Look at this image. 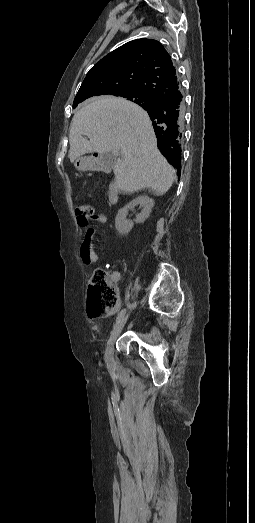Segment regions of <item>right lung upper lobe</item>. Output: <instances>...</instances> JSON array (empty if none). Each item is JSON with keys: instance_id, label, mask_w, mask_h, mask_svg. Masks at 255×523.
I'll return each mask as SVG.
<instances>
[{"instance_id": "1", "label": "right lung upper lobe", "mask_w": 255, "mask_h": 523, "mask_svg": "<svg viewBox=\"0 0 255 523\" xmlns=\"http://www.w3.org/2000/svg\"><path fill=\"white\" fill-rule=\"evenodd\" d=\"M142 91L152 97L155 106L165 101L177 100L181 109L177 112L180 134L176 138L182 143L183 96L175 67L168 52L162 44L152 39H138L128 42L110 52L87 73L73 103V107L84 101L90 102L127 91ZM141 105V102H137ZM143 108V107H142ZM147 111L154 131L155 122ZM158 144L159 150L168 162L177 170L181 168V149L168 155L164 146Z\"/></svg>"}]
</instances>
